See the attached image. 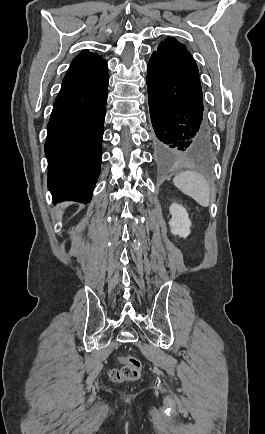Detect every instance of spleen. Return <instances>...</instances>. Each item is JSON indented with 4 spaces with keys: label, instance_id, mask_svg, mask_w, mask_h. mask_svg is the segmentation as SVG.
Here are the masks:
<instances>
[{
    "label": "spleen",
    "instance_id": "1",
    "mask_svg": "<svg viewBox=\"0 0 265 434\" xmlns=\"http://www.w3.org/2000/svg\"><path fill=\"white\" fill-rule=\"evenodd\" d=\"M174 186L179 188L183 194H187L190 198H193L197 204L207 208L210 200V188L207 180L204 176L198 174V172H181L178 176H175Z\"/></svg>",
    "mask_w": 265,
    "mask_h": 434
}]
</instances>
